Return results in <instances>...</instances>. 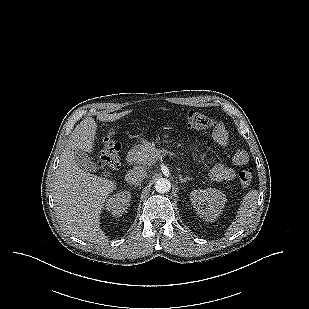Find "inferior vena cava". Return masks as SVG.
I'll return each mask as SVG.
<instances>
[{
  "label": "inferior vena cava",
  "mask_w": 309,
  "mask_h": 309,
  "mask_svg": "<svg viewBox=\"0 0 309 309\" xmlns=\"http://www.w3.org/2000/svg\"><path fill=\"white\" fill-rule=\"evenodd\" d=\"M147 176V172L143 167H135L125 175V180L131 185H140L142 180Z\"/></svg>",
  "instance_id": "602c4592"
}]
</instances>
